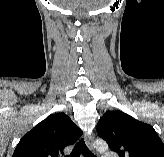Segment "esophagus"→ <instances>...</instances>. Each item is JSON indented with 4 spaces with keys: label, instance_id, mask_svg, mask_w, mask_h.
<instances>
[{
    "label": "esophagus",
    "instance_id": "34e87169",
    "mask_svg": "<svg viewBox=\"0 0 164 157\" xmlns=\"http://www.w3.org/2000/svg\"><path fill=\"white\" fill-rule=\"evenodd\" d=\"M85 141L89 147L90 150H94V147H93V135L92 134H87L85 135Z\"/></svg>",
    "mask_w": 164,
    "mask_h": 157
}]
</instances>
